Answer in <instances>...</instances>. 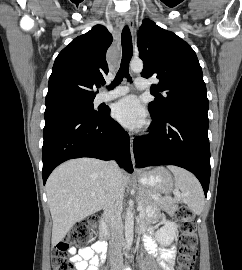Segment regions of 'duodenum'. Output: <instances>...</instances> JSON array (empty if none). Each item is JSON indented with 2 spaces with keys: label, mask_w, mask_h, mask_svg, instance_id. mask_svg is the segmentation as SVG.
I'll return each mask as SVG.
<instances>
[{
  "label": "duodenum",
  "mask_w": 242,
  "mask_h": 270,
  "mask_svg": "<svg viewBox=\"0 0 242 270\" xmlns=\"http://www.w3.org/2000/svg\"><path fill=\"white\" fill-rule=\"evenodd\" d=\"M109 217V214L106 213L100 223V238L102 240V243L104 244L101 251L104 253L106 251V245L105 242L110 238V230L107 223V218Z\"/></svg>",
  "instance_id": "1"
}]
</instances>
